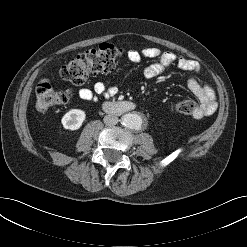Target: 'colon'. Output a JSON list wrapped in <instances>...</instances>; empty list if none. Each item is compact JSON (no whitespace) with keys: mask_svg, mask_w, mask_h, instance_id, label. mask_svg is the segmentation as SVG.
<instances>
[{"mask_svg":"<svg viewBox=\"0 0 247 247\" xmlns=\"http://www.w3.org/2000/svg\"><path fill=\"white\" fill-rule=\"evenodd\" d=\"M122 55L121 49L102 44L73 58L61 68L60 75L75 85H82L90 75L113 71ZM36 99L39 110H48L68 102L70 93L56 90L49 80L42 79L36 86ZM172 110L184 115H193L196 112V104L190 99H185L175 102Z\"/></svg>","mask_w":247,"mask_h":247,"instance_id":"1","label":"colon"}]
</instances>
